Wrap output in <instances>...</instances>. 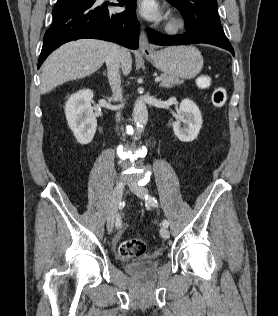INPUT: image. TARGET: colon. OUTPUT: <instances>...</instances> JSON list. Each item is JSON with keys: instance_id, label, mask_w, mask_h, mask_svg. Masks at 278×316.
I'll return each mask as SVG.
<instances>
[{"instance_id": "5ec220e1", "label": "colon", "mask_w": 278, "mask_h": 316, "mask_svg": "<svg viewBox=\"0 0 278 316\" xmlns=\"http://www.w3.org/2000/svg\"><path fill=\"white\" fill-rule=\"evenodd\" d=\"M209 78L203 76L199 79L202 86L209 84ZM227 100V89L223 86L215 87L211 94L212 104L217 107H223ZM146 250V243L142 239H129L123 241L119 246V254L124 258L140 256Z\"/></svg>"}]
</instances>
